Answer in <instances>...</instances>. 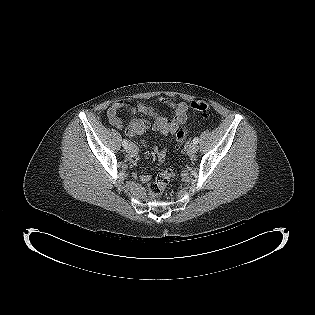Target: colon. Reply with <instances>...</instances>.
Listing matches in <instances>:
<instances>
[{"instance_id": "colon-1", "label": "colon", "mask_w": 315, "mask_h": 315, "mask_svg": "<svg viewBox=\"0 0 315 315\" xmlns=\"http://www.w3.org/2000/svg\"><path fill=\"white\" fill-rule=\"evenodd\" d=\"M191 109L193 111L202 113L204 115H208L209 112V105L207 102L202 101V100H196L194 102L191 103L190 105ZM140 122L139 120L133 122L137 123ZM187 129H180L179 131H177L176 133V138H177V142L179 145H181L184 140L187 137ZM176 175V170L175 169H167L161 173H159L155 179L154 182H152L149 185V191L153 196H159L163 193L165 187L167 186L168 182L174 178Z\"/></svg>"}]
</instances>
